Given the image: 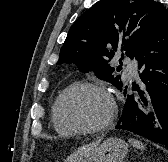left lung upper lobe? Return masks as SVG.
Wrapping results in <instances>:
<instances>
[{
  "label": "left lung upper lobe",
  "mask_w": 168,
  "mask_h": 162,
  "mask_svg": "<svg viewBox=\"0 0 168 162\" xmlns=\"http://www.w3.org/2000/svg\"><path fill=\"white\" fill-rule=\"evenodd\" d=\"M168 15L157 0H101L70 28L57 64L74 63L122 90L124 82L109 65L116 51L136 56ZM118 70V69H117Z\"/></svg>",
  "instance_id": "obj_1"
}]
</instances>
